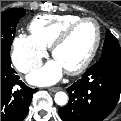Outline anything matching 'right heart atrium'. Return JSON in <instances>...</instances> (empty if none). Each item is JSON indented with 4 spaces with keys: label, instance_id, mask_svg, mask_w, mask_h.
Returning <instances> with one entry per match:
<instances>
[{
    "label": "right heart atrium",
    "instance_id": "obj_1",
    "mask_svg": "<svg viewBox=\"0 0 121 121\" xmlns=\"http://www.w3.org/2000/svg\"><path fill=\"white\" fill-rule=\"evenodd\" d=\"M47 55V48L32 35L18 34L12 41L11 59L14 66L24 74L38 68Z\"/></svg>",
    "mask_w": 121,
    "mask_h": 121
}]
</instances>
